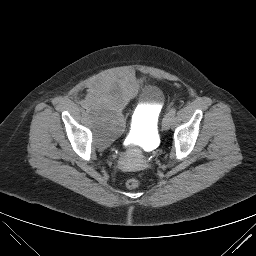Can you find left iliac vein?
I'll return each instance as SVG.
<instances>
[{
  "mask_svg": "<svg viewBox=\"0 0 256 256\" xmlns=\"http://www.w3.org/2000/svg\"><path fill=\"white\" fill-rule=\"evenodd\" d=\"M172 118H173V117H171V116L169 115V113L166 114V116L164 117L163 122H162V128H163L164 130H168V129L170 128L171 123H172Z\"/></svg>",
  "mask_w": 256,
  "mask_h": 256,
  "instance_id": "left-iliac-vein-1",
  "label": "left iliac vein"
}]
</instances>
